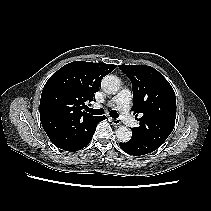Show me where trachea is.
<instances>
[{
    "instance_id": "trachea-1",
    "label": "trachea",
    "mask_w": 211,
    "mask_h": 211,
    "mask_svg": "<svg viewBox=\"0 0 211 211\" xmlns=\"http://www.w3.org/2000/svg\"><path fill=\"white\" fill-rule=\"evenodd\" d=\"M87 111L90 112L93 115H102L103 112H104L103 109H93V108H88ZM109 115L112 118H118V116H119L116 110H111Z\"/></svg>"
}]
</instances>
